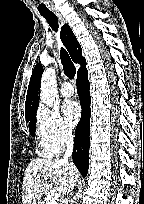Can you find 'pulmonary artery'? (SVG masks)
Here are the masks:
<instances>
[{
  "label": "pulmonary artery",
  "mask_w": 144,
  "mask_h": 204,
  "mask_svg": "<svg viewBox=\"0 0 144 204\" xmlns=\"http://www.w3.org/2000/svg\"><path fill=\"white\" fill-rule=\"evenodd\" d=\"M61 94L65 97H70L74 94V88L71 83L64 82L60 88Z\"/></svg>",
  "instance_id": "1"
}]
</instances>
